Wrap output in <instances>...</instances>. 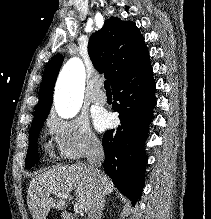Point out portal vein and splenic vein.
Wrapping results in <instances>:
<instances>
[{
  "mask_svg": "<svg viewBox=\"0 0 211 219\" xmlns=\"http://www.w3.org/2000/svg\"><path fill=\"white\" fill-rule=\"evenodd\" d=\"M56 196H57L58 198H61V199H68V200H71V199H72L71 195L68 194V193H58V194H56ZM74 211H75L76 213H80V212H82V209H81V207H80L78 204H76V205L74 206Z\"/></svg>",
  "mask_w": 211,
  "mask_h": 219,
  "instance_id": "18ae733b",
  "label": "portal vein and splenic vein"
}]
</instances>
